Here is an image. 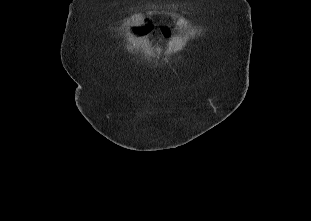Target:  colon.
I'll return each mask as SVG.
<instances>
[{
	"mask_svg": "<svg viewBox=\"0 0 311 221\" xmlns=\"http://www.w3.org/2000/svg\"><path fill=\"white\" fill-rule=\"evenodd\" d=\"M152 26L151 25H146L145 27H143V30H145L147 33L144 34V37H146L147 39H152L153 38V33L152 31Z\"/></svg>",
	"mask_w": 311,
	"mask_h": 221,
	"instance_id": "5ec220e1",
	"label": "colon"
}]
</instances>
